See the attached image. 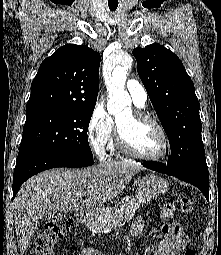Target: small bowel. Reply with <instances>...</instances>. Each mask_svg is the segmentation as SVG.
Instances as JSON below:
<instances>
[{"instance_id":"small-bowel-1","label":"small bowel","mask_w":221,"mask_h":255,"mask_svg":"<svg viewBox=\"0 0 221 255\" xmlns=\"http://www.w3.org/2000/svg\"><path fill=\"white\" fill-rule=\"evenodd\" d=\"M143 229V219L136 217L131 223L129 234L133 237L139 236ZM189 240L183 234L182 227L177 222L165 224L161 233L157 236L152 245L155 248L154 255H177L185 250ZM81 255H102L101 250L95 247H88Z\"/></svg>"}]
</instances>
